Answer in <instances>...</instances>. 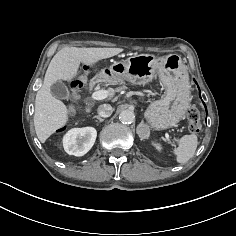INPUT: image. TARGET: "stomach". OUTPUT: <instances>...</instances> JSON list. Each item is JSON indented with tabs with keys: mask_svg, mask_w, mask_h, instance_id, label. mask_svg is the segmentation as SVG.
Wrapping results in <instances>:
<instances>
[{
	"mask_svg": "<svg viewBox=\"0 0 236 236\" xmlns=\"http://www.w3.org/2000/svg\"><path fill=\"white\" fill-rule=\"evenodd\" d=\"M104 74L115 83L129 81L145 85L159 74L166 86L162 99L152 102L144 113L149 125L156 130H164L177 124L185 115L190 92L187 71L179 56L175 54L158 58L153 54H131L124 61L114 62L109 68L98 73Z\"/></svg>",
	"mask_w": 236,
	"mask_h": 236,
	"instance_id": "1",
	"label": "stomach"
}]
</instances>
